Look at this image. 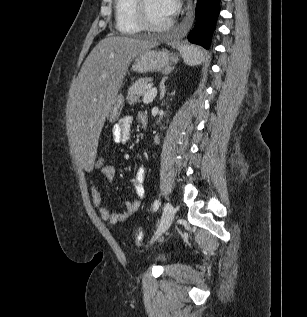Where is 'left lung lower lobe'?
<instances>
[{
	"mask_svg": "<svg viewBox=\"0 0 307 317\" xmlns=\"http://www.w3.org/2000/svg\"><path fill=\"white\" fill-rule=\"evenodd\" d=\"M220 12V0H197L196 22L188 34L191 43L209 48Z\"/></svg>",
	"mask_w": 307,
	"mask_h": 317,
	"instance_id": "0a47b994",
	"label": "left lung lower lobe"
}]
</instances>
